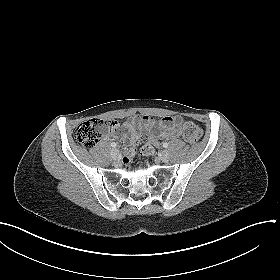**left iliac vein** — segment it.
I'll use <instances>...</instances> for the list:
<instances>
[{
	"label": "left iliac vein",
	"instance_id": "obj_1",
	"mask_svg": "<svg viewBox=\"0 0 280 280\" xmlns=\"http://www.w3.org/2000/svg\"><path fill=\"white\" fill-rule=\"evenodd\" d=\"M160 159L163 162H168L170 160V154L167 150H163L160 155Z\"/></svg>",
	"mask_w": 280,
	"mask_h": 280
}]
</instances>
